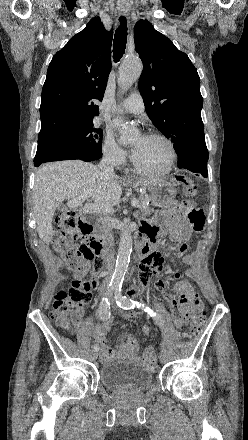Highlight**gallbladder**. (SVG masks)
I'll return each mask as SVG.
<instances>
[{
  "label": "gallbladder",
  "mask_w": 248,
  "mask_h": 440,
  "mask_svg": "<svg viewBox=\"0 0 248 440\" xmlns=\"http://www.w3.org/2000/svg\"><path fill=\"white\" fill-rule=\"evenodd\" d=\"M60 208H61V205L58 206V209H60Z\"/></svg>",
  "instance_id": "1"
}]
</instances>
